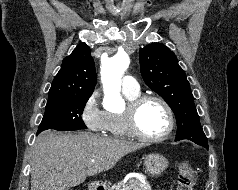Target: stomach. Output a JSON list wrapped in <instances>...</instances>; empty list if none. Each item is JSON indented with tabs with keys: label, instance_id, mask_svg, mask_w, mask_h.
<instances>
[{
	"label": "stomach",
	"instance_id": "1",
	"mask_svg": "<svg viewBox=\"0 0 238 190\" xmlns=\"http://www.w3.org/2000/svg\"><path fill=\"white\" fill-rule=\"evenodd\" d=\"M144 165L147 173L156 177L162 174V172L168 166V160L160 154H149L144 158Z\"/></svg>",
	"mask_w": 238,
	"mask_h": 190
}]
</instances>
